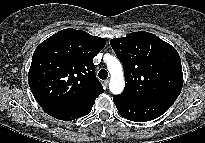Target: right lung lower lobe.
Wrapping results in <instances>:
<instances>
[{
  "mask_svg": "<svg viewBox=\"0 0 205 143\" xmlns=\"http://www.w3.org/2000/svg\"><path fill=\"white\" fill-rule=\"evenodd\" d=\"M96 98L97 97H95L89 103H87L86 105H84L83 107H81L77 110H71V111L48 110V111H45V112L47 114H49L50 116H52L54 118H57L59 120L71 121V120L83 117V116L87 115L88 113H90V111L92 110V107L95 103Z\"/></svg>",
  "mask_w": 205,
  "mask_h": 143,
  "instance_id": "1",
  "label": "right lung lower lobe"
}]
</instances>
